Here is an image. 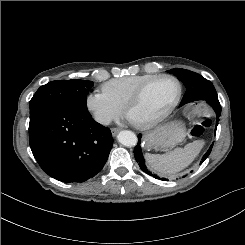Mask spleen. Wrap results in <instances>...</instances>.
Wrapping results in <instances>:
<instances>
[{"instance_id":"obj_1","label":"spleen","mask_w":245,"mask_h":245,"mask_svg":"<svg viewBox=\"0 0 245 245\" xmlns=\"http://www.w3.org/2000/svg\"><path fill=\"white\" fill-rule=\"evenodd\" d=\"M204 142L196 140L188 143L184 148H176L165 154L146 153L147 164L161 175L173 176L189 166L200 153Z\"/></svg>"}]
</instances>
